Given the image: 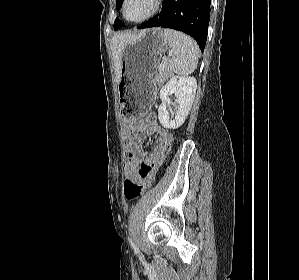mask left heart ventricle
<instances>
[{
	"label": "left heart ventricle",
	"mask_w": 299,
	"mask_h": 280,
	"mask_svg": "<svg viewBox=\"0 0 299 280\" xmlns=\"http://www.w3.org/2000/svg\"><path fill=\"white\" fill-rule=\"evenodd\" d=\"M153 0H129L126 6V15L131 20L145 16L152 8Z\"/></svg>",
	"instance_id": "obj_1"
}]
</instances>
